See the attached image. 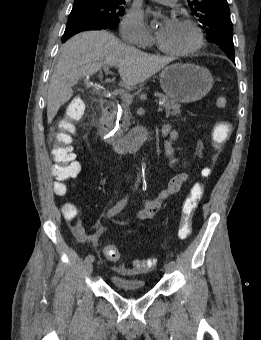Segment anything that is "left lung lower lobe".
<instances>
[{
    "instance_id": "1",
    "label": "left lung lower lobe",
    "mask_w": 261,
    "mask_h": 340,
    "mask_svg": "<svg viewBox=\"0 0 261 340\" xmlns=\"http://www.w3.org/2000/svg\"><path fill=\"white\" fill-rule=\"evenodd\" d=\"M229 59H230L232 62H234V63H235V60H234V58H232V57H231V58H229Z\"/></svg>"
}]
</instances>
